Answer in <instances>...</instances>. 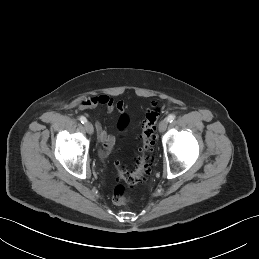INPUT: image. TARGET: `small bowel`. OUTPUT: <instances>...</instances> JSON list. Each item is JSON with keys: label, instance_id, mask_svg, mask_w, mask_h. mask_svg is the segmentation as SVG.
I'll list each match as a JSON object with an SVG mask.
<instances>
[{"label": "small bowel", "instance_id": "small-bowel-1", "mask_svg": "<svg viewBox=\"0 0 259 259\" xmlns=\"http://www.w3.org/2000/svg\"><path fill=\"white\" fill-rule=\"evenodd\" d=\"M99 105L104 106L109 114L114 110L119 114H122L125 108V104L122 100L115 101L112 97L107 95L94 96L82 102V107L86 109H93ZM95 128L98 139L103 143L101 156L105 157L112 150L115 143V137L107 131L100 120H96Z\"/></svg>", "mask_w": 259, "mask_h": 259}]
</instances>
